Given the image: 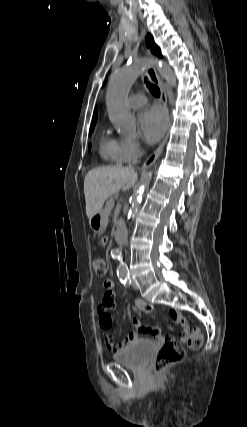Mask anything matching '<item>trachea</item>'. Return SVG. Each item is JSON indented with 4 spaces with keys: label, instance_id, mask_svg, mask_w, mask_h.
<instances>
[{
    "label": "trachea",
    "instance_id": "obj_1",
    "mask_svg": "<svg viewBox=\"0 0 247 427\" xmlns=\"http://www.w3.org/2000/svg\"><path fill=\"white\" fill-rule=\"evenodd\" d=\"M145 82L147 84V87L149 88L150 92L158 97L160 95V90L156 85L151 84L150 82H148L147 78H145Z\"/></svg>",
    "mask_w": 247,
    "mask_h": 427
}]
</instances>
